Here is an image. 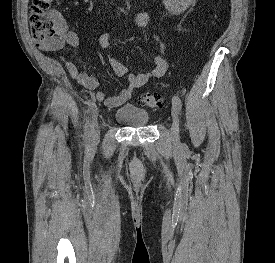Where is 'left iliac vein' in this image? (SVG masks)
<instances>
[{"label": "left iliac vein", "instance_id": "4c4485c4", "mask_svg": "<svg viewBox=\"0 0 275 263\" xmlns=\"http://www.w3.org/2000/svg\"><path fill=\"white\" fill-rule=\"evenodd\" d=\"M172 127H171V133H172V140L174 143H177L179 140V115H178V111L173 108L172 109Z\"/></svg>", "mask_w": 275, "mask_h": 263}]
</instances>
